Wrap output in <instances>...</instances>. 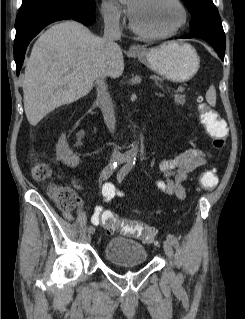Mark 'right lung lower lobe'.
Masks as SVG:
<instances>
[{
  "instance_id": "98d812e1",
  "label": "right lung lower lobe",
  "mask_w": 245,
  "mask_h": 319,
  "mask_svg": "<svg viewBox=\"0 0 245 319\" xmlns=\"http://www.w3.org/2000/svg\"><path fill=\"white\" fill-rule=\"evenodd\" d=\"M95 7L75 9L67 6H50L29 12L18 13L15 28L14 59L16 73L19 75L24 55L30 41L48 24L62 19H75L84 25L95 22Z\"/></svg>"
}]
</instances>
